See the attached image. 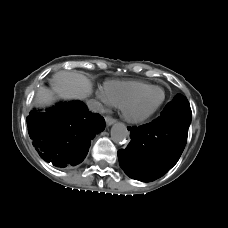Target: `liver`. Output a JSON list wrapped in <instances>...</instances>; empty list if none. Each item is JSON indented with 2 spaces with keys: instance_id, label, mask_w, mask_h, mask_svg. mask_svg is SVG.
<instances>
[{
  "instance_id": "obj_1",
  "label": "liver",
  "mask_w": 228,
  "mask_h": 228,
  "mask_svg": "<svg viewBox=\"0 0 228 228\" xmlns=\"http://www.w3.org/2000/svg\"><path fill=\"white\" fill-rule=\"evenodd\" d=\"M91 93L92 84L86 76L63 70L54 74L52 90H38L35 102L39 105H48L54 100V94L63 99H84Z\"/></svg>"
}]
</instances>
